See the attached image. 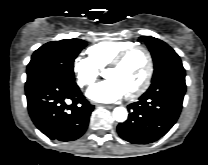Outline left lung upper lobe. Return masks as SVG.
<instances>
[{"mask_svg":"<svg viewBox=\"0 0 208 165\" xmlns=\"http://www.w3.org/2000/svg\"><path fill=\"white\" fill-rule=\"evenodd\" d=\"M140 40L147 44L153 58L152 81L170 71L184 70L178 54L165 42L151 36H142Z\"/></svg>","mask_w":208,"mask_h":165,"instance_id":"obj_1","label":"left lung upper lobe"}]
</instances>
